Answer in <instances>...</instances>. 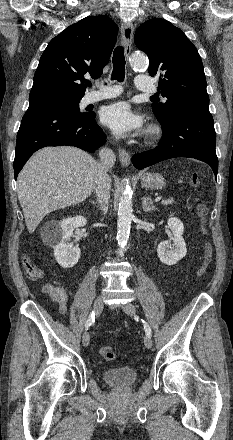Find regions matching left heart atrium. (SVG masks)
Segmentation results:
<instances>
[{
  "label": "left heart atrium",
  "mask_w": 233,
  "mask_h": 440,
  "mask_svg": "<svg viewBox=\"0 0 233 440\" xmlns=\"http://www.w3.org/2000/svg\"><path fill=\"white\" fill-rule=\"evenodd\" d=\"M102 122L119 135L138 132L143 127L142 117L123 101L107 106L102 113Z\"/></svg>",
  "instance_id": "39dd6f15"
}]
</instances>
